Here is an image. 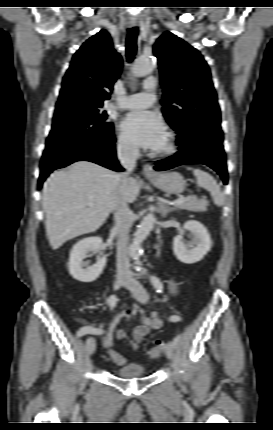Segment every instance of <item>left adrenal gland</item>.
I'll list each match as a JSON object with an SVG mask.
<instances>
[{
	"label": "left adrenal gland",
	"instance_id": "obj_1",
	"mask_svg": "<svg viewBox=\"0 0 273 430\" xmlns=\"http://www.w3.org/2000/svg\"><path fill=\"white\" fill-rule=\"evenodd\" d=\"M159 206H160L159 210H160L161 216H163V217H166L167 214L172 211V208L165 206V204H163V203H160Z\"/></svg>",
	"mask_w": 273,
	"mask_h": 430
}]
</instances>
